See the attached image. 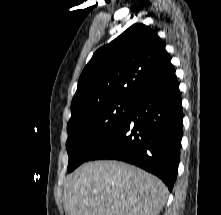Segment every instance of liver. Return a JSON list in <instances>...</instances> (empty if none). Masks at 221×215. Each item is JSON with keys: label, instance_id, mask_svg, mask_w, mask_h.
I'll return each instance as SVG.
<instances>
[{"label": "liver", "instance_id": "liver-1", "mask_svg": "<svg viewBox=\"0 0 221 215\" xmlns=\"http://www.w3.org/2000/svg\"><path fill=\"white\" fill-rule=\"evenodd\" d=\"M167 196L165 184L138 167L95 161L67 177L63 201L66 215H158Z\"/></svg>", "mask_w": 221, "mask_h": 215}]
</instances>
